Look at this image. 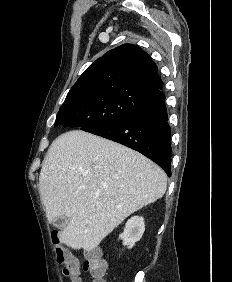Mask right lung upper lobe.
<instances>
[{
  "instance_id": "obj_1",
  "label": "right lung upper lobe",
  "mask_w": 232,
  "mask_h": 282,
  "mask_svg": "<svg viewBox=\"0 0 232 282\" xmlns=\"http://www.w3.org/2000/svg\"><path fill=\"white\" fill-rule=\"evenodd\" d=\"M110 89L143 92L154 105L165 97L156 64L145 51L132 44H123L98 58L78 78L65 100Z\"/></svg>"
}]
</instances>
